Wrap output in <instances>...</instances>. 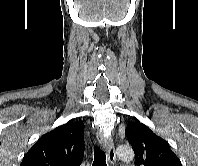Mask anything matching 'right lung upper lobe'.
<instances>
[{"label":"right lung upper lobe","instance_id":"cb5924a9","mask_svg":"<svg viewBox=\"0 0 198 166\" xmlns=\"http://www.w3.org/2000/svg\"><path fill=\"white\" fill-rule=\"evenodd\" d=\"M84 124L68 122L43 135L20 166H80L84 155Z\"/></svg>","mask_w":198,"mask_h":166}]
</instances>
